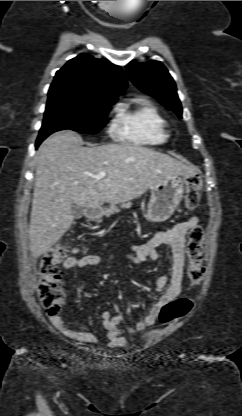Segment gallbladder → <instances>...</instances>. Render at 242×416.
Segmentation results:
<instances>
[{
  "label": "gallbladder",
  "mask_w": 242,
  "mask_h": 416,
  "mask_svg": "<svg viewBox=\"0 0 242 416\" xmlns=\"http://www.w3.org/2000/svg\"><path fill=\"white\" fill-rule=\"evenodd\" d=\"M71 212L75 219L81 218L84 215V208L80 207L79 205L73 203L71 205Z\"/></svg>",
  "instance_id": "obj_1"
}]
</instances>
